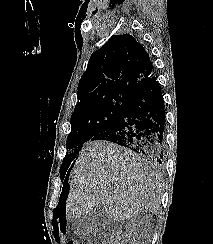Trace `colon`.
I'll list each match as a JSON object with an SVG mask.
<instances>
[{"label":"colon","mask_w":213,"mask_h":244,"mask_svg":"<svg viewBox=\"0 0 213 244\" xmlns=\"http://www.w3.org/2000/svg\"><path fill=\"white\" fill-rule=\"evenodd\" d=\"M66 244H79V243H78V242H75V241L70 240V241H68Z\"/></svg>","instance_id":"1"}]
</instances>
